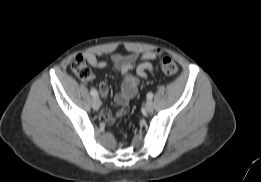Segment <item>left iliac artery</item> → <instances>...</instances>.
<instances>
[{
	"label": "left iliac artery",
	"instance_id": "left-iliac-artery-1",
	"mask_svg": "<svg viewBox=\"0 0 261 182\" xmlns=\"http://www.w3.org/2000/svg\"><path fill=\"white\" fill-rule=\"evenodd\" d=\"M147 98H148V99H152V98H153V93H151V92L148 93V94H147Z\"/></svg>",
	"mask_w": 261,
	"mask_h": 182
}]
</instances>
